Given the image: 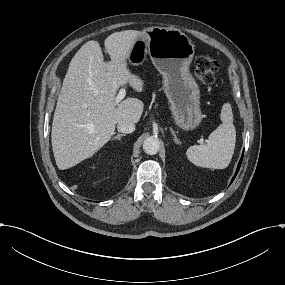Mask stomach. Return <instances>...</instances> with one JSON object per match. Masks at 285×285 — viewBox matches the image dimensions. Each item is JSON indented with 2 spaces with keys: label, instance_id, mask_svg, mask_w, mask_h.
<instances>
[{
  "label": "stomach",
  "instance_id": "0dacf381",
  "mask_svg": "<svg viewBox=\"0 0 285 285\" xmlns=\"http://www.w3.org/2000/svg\"><path fill=\"white\" fill-rule=\"evenodd\" d=\"M146 53L162 76L163 90L175 125L183 131L197 129L203 115L200 88L190 72L195 55L192 41L175 28H150L136 42L129 61L139 64Z\"/></svg>",
  "mask_w": 285,
  "mask_h": 285
}]
</instances>
